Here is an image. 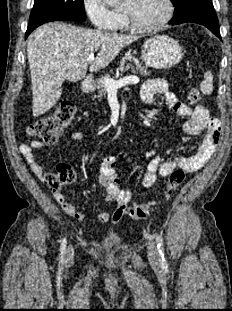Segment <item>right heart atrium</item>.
Segmentation results:
<instances>
[{
	"mask_svg": "<svg viewBox=\"0 0 232 311\" xmlns=\"http://www.w3.org/2000/svg\"><path fill=\"white\" fill-rule=\"evenodd\" d=\"M82 4L95 29L100 31L114 30L120 15L110 9L105 0H82Z\"/></svg>",
	"mask_w": 232,
	"mask_h": 311,
	"instance_id": "1",
	"label": "right heart atrium"
}]
</instances>
